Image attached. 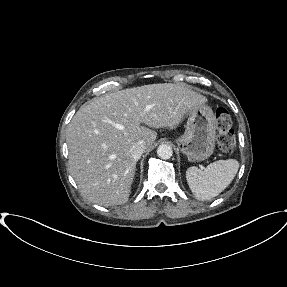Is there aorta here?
Instances as JSON below:
<instances>
[{
  "mask_svg": "<svg viewBox=\"0 0 287 287\" xmlns=\"http://www.w3.org/2000/svg\"><path fill=\"white\" fill-rule=\"evenodd\" d=\"M157 155L161 159H169L173 155L172 147L167 144H161L157 148Z\"/></svg>",
  "mask_w": 287,
  "mask_h": 287,
  "instance_id": "obj_1",
  "label": "aorta"
}]
</instances>
